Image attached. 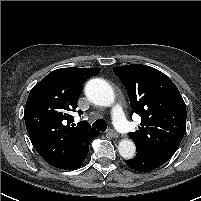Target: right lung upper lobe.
Segmentation results:
<instances>
[{
  "label": "right lung upper lobe",
  "mask_w": 201,
  "mask_h": 201,
  "mask_svg": "<svg viewBox=\"0 0 201 201\" xmlns=\"http://www.w3.org/2000/svg\"><path fill=\"white\" fill-rule=\"evenodd\" d=\"M99 72L100 68H61L31 89L25 124L34 147L48 164L60 169L74 166L90 141L99 135L86 122L75 126L69 114L77 107L83 84Z\"/></svg>",
  "instance_id": "obj_1"
}]
</instances>
